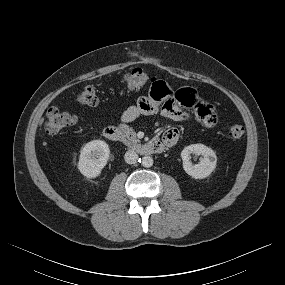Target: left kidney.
Wrapping results in <instances>:
<instances>
[{
  "label": "left kidney",
  "mask_w": 285,
  "mask_h": 285,
  "mask_svg": "<svg viewBox=\"0 0 285 285\" xmlns=\"http://www.w3.org/2000/svg\"><path fill=\"white\" fill-rule=\"evenodd\" d=\"M191 154L202 155L203 158L198 164H192L190 161ZM181 157L185 172L195 179L208 177L216 168L217 157L215 152L203 144H192L185 147L181 152Z\"/></svg>",
  "instance_id": "5707ae66"
}]
</instances>
